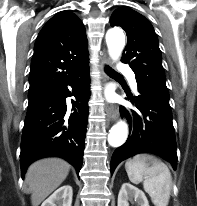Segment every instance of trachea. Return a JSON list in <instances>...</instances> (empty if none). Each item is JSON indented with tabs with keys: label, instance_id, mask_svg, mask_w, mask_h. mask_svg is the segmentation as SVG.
Instances as JSON below:
<instances>
[{
	"label": "trachea",
	"instance_id": "trachea-1",
	"mask_svg": "<svg viewBox=\"0 0 197 206\" xmlns=\"http://www.w3.org/2000/svg\"><path fill=\"white\" fill-rule=\"evenodd\" d=\"M106 73L110 76H120V74H118L116 71H114L112 68L110 67H106L105 69Z\"/></svg>",
	"mask_w": 197,
	"mask_h": 206
}]
</instances>
